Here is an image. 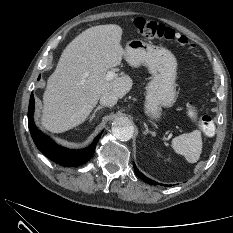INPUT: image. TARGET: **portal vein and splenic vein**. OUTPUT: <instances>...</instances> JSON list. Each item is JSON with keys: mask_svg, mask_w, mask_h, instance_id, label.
Returning <instances> with one entry per match:
<instances>
[{"mask_svg": "<svg viewBox=\"0 0 233 233\" xmlns=\"http://www.w3.org/2000/svg\"><path fill=\"white\" fill-rule=\"evenodd\" d=\"M117 76V73L115 71H108L106 74V79L108 81L113 80Z\"/></svg>", "mask_w": 233, "mask_h": 233, "instance_id": "18ae733b", "label": "portal vein and splenic vein"}]
</instances>
